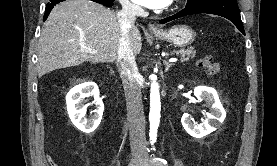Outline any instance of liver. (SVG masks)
<instances>
[{
    "instance_id": "obj_1",
    "label": "liver",
    "mask_w": 277,
    "mask_h": 166,
    "mask_svg": "<svg viewBox=\"0 0 277 166\" xmlns=\"http://www.w3.org/2000/svg\"><path fill=\"white\" fill-rule=\"evenodd\" d=\"M121 29L117 14L90 0H67L56 5L45 21L38 44V76L78 66L84 62L110 63L117 60ZM131 49L142 48L136 26L129 30ZM85 48L97 51L86 52Z\"/></svg>"
}]
</instances>
